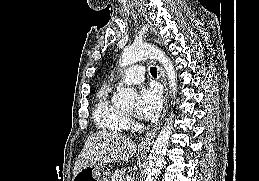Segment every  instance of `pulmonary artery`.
Masks as SVG:
<instances>
[{"mask_svg": "<svg viewBox=\"0 0 259 181\" xmlns=\"http://www.w3.org/2000/svg\"><path fill=\"white\" fill-rule=\"evenodd\" d=\"M143 68L140 66H136L132 69H130L124 79L123 82L125 84H140L143 81Z\"/></svg>", "mask_w": 259, "mask_h": 181, "instance_id": "1", "label": "pulmonary artery"}]
</instances>
